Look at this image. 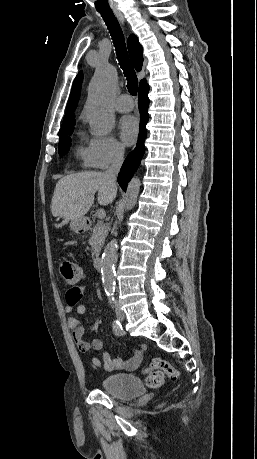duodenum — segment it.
Listing matches in <instances>:
<instances>
[{"mask_svg":"<svg viewBox=\"0 0 257 459\" xmlns=\"http://www.w3.org/2000/svg\"><path fill=\"white\" fill-rule=\"evenodd\" d=\"M89 226H90V222H89V221H86V220L83 221V227H84V228H87V227H89ZM94 264H95V268H96L97 270H100L101 267H102V258H101L100 256L96 255V256L94 257Z\"/></svg>","mask_w":257,"mask_h":459,"instance_id":"410a0bca","label":"duodenum"}]
</instances>
